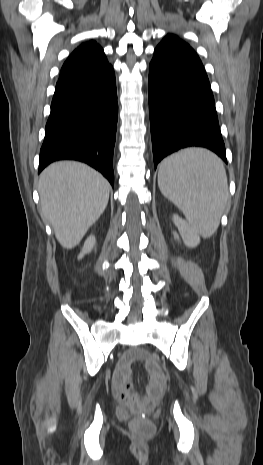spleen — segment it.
I'll return each instance as SVG.
<instances>
[{
	"mask_svg": "<svg viewBox=\"0 0 263 465\" xmlns=\"http://www.w3.org/2000/svg\"><path fill=\"white\" fill-rule=\"evenodd\" d=\"M158 185L199 235L214 234L228 198L221 159L205 149L179 151L161 162Z\"/></svg>",
	"mask_w": 263,
	"mask_h": 465,
	"instance_id": "3e777b00",
	"label": "spleen"
}]
</instances>
